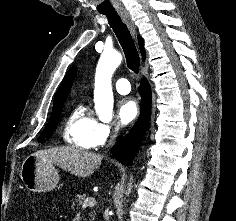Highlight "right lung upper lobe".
Here are the masks:
<instances>
[{
	"label": "right lung upper lobe",
	"instance_id": "right-lung-upper-lobe-1",
	"mask_svg": "<svg viewBox=\"0 0 236 221\" xmlns=\"http://www.w3.org/2000/svg\"><path fill=\"white\" fill-rule=\"evenodd\" d=\"M138 43H139L140 51L142 54V60L144 61L145 49H144V43H143V40L141 39V37H138ZM76 72H77V68L72 67L66 73V75L60 85V88L58 89V91L55 95L53 106L64 103V101L66 100V98L69 94V91L71 89L72 83H73L74 78L76 76Z\"/></svg>",
	"mask_w": 236,
	"mask_h": 221
}]
</instances>
